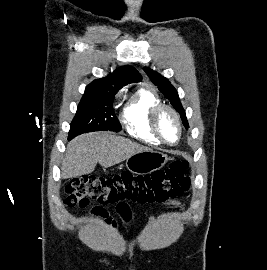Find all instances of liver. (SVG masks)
Masks as SVG:
<instances>
[{
  "label": "liver",
  "instance_id": "liver-1",
  "mask_svg": "<svg viewBox=\"0 0 267 270\" xmlns=\"http://www.w3.org/2000/svg\"><path fill=\"white\" fill-rule=\"evenodd\" d=\"M149 150L137 142L108 132L87 133L68 143L61 176L67 179L90 174L97 163L108 168L138 152Z\"/></svg>",
  "mask_w": 267,
  "mask_h": 270
}]
</instances>
